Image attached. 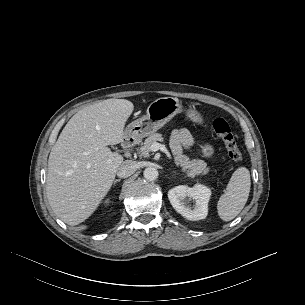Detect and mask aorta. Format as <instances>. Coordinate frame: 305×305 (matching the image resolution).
<instances>
[{"instance_id": "obj_1", "label": "aorta", "mask_w": 305, "mask_h": 305, "mask_svg": "<svg viewBox=\"0 0 305 305\" xmlns=\"http://www.w3.org/2000/svg\"><path fill=\"white\" fill-rule=\"evenodd\" d=\"M144 178L149 181H154L158 178V170L154 167H147L143 172Z\"/></svg>"}]
</instances>
